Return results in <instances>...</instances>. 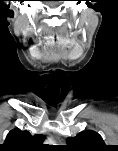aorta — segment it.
<instances>
[{"label":"aorta","instance_id":"1","mask_svg":"<svg viewBox=\"0 0 118 151\" xmlns=\"http://www.w3.org/2000/svg\"><path fill=\"white\" fill-rule=\"evenodd\" d=\"M46 143H48V144H53V143H54V141H53V139L48 138V139L46 140Z\"/></svg>","mask_w":118,"mask_h":151}]
</instances>
